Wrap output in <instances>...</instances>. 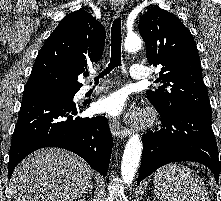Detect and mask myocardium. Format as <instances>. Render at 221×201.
<instances>
[{
    "label": "myocardium",
    "mask_w": 221,
    "mask_h": 201,
    "mask_svg": "<svg viewBox=\"0 0 221 201\" xmlns=\"http://www.w3.org/2000/svg\"><path fill=\"white\" fill-rule=\"evenodd\" d=\"M157 121V112L153 108H148L146 111L141 114L136 123L141 127H150L153 126Z\"/></svg>",
    "instance_id": "f54148a6"
}]
</instances>
